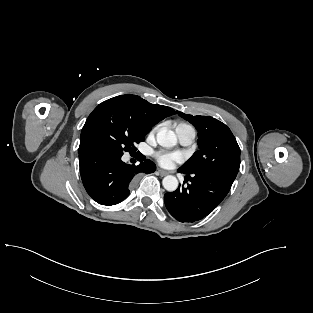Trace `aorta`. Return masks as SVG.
Here are the masks:
<instances>
[{
	"label": "aorta",
	"mask_w": 313,
	"mask_h": 313,
	"mask_svg": "<svg viewBox=\"0 0 313 313\" xmlns=\"http://www.w3.org/2000/svg\"><path fill=\"white\" fill-rule=\"evenodd\" d=\"M157 142L165 148L173 147L177 144V137L171 131L160 130L156 135ZM163 187L169 191H175L178 188V180L175 176L168 175L162 180Z\"/></svg>",
	"instance_id": "aorta-1"
}]
</instances>
